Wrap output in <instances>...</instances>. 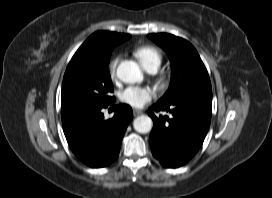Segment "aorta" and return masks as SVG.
I'll return each instance as SVG.
<instances>
[{
  "label": "aorta",
  "instance_id": "aorta-1",
  "mask_svg": "<svg viewBox=\"0 0 272 198\" xmlns=\"http://www.w3.org/2000/svg\"><path fill=\"white\" fill-rule=\"evenodd\" d=\"M117 77L125 83H136L143 80V74L139 66L130 60L122 61L117 68ZM153 126L152 119L147 115H141L135 118L133 122L134 129L139 133H148Z\"/></svg>",
  "mask_w": 272,
  "mask_h": 198
}]
</instances>
